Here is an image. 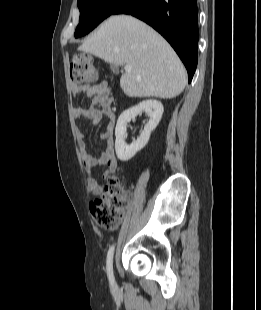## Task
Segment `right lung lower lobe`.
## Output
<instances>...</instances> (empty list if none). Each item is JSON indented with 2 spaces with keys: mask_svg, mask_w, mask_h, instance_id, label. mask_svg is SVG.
Segmentation results:
<instances>
[{
  "mask_svg": "<svg viewBox=\"0 0 261 310\" xmlns=\"http://www.w3.org/2000/svg\"><path fill=\"white\" fill-rule=\"evenodd\" d=\"M113 14L133 15L157 30L174 48L192 80L197 66V0H127Z\"/></svg>",
  "mask_w": 261,
  "mask_h": 310,
  "instance_id": "right-lung-lower-lobe-1",
  "label": "right lung lower lobe"
}]
</instances>
